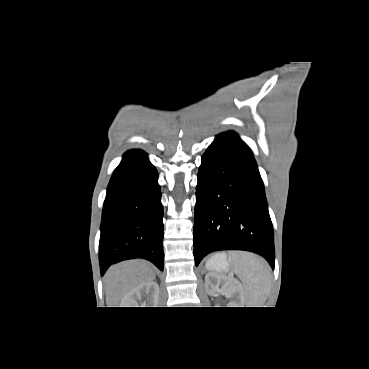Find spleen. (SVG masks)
Instances as JSON below:
<instances>
[{
    "mask_svg": "<svg viewBox=\"0 0 369 369\" xmlns=\"http://www.w3.org/2000/svg\"><path fill=\"white\" fill-rule=\"evenodd\" d=\"M229 262L242 281L248 307H262L271 284L270 267L267 262L255 254L239 251L229 253Z\"/></svg>",
    "mask_w": 369,
    "mask_h": 369,
    "instance_id": "3e777b00",
    "label": "spleen"
}]
</instances>
